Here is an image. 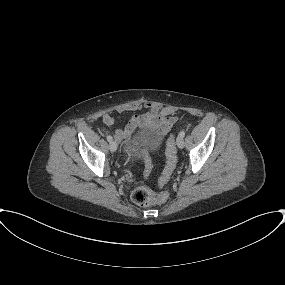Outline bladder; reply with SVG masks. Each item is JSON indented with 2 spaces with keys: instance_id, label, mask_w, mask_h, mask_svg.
<instances>
[{
  "instance_id": "1",
  "label": "bladder",
  "mask_w": 285,
  "mask_h": 285,
  "mask_svg": "<svg viewBox=\"0 0 285 285\" xmlns=\"http://www.w3.org/2000/svg\"><path fill=\"white\" fill-rule=\"evenodd\" d=\"M163 143L161 133L153 128H146L139 131L136 136L129 139L124 145V156L128 162H132L141 149L149 150L152 152L160 149Z\"/></svg>"
}]
</instances>
